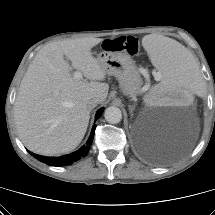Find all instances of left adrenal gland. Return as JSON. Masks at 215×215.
<instances>
[{
	"instance_id": "1",
	"label": "left adrenal gland",
	"mask_w": 215,
	"mask_h": 215,
	"mask_svg": "<svg viewBox=\"0 0 215 215\" xmlns=\"http://www.w3.org/2000/svg\"><path fill=\"white\" fill-rule=\"evenodd\" d=\"M129 110H130V112L132 113V111L134 110V106H129Z\"/></svg>"
}]
</instances>
